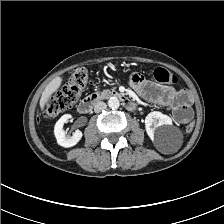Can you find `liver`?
<instances>
[{
	"label": "liver",
	"mask_w": 224,
	"mask_h": 224,
	"mask_svg": "<svg viewBox=\"0 0 224 224\" xmlns=\"http://www.w3.org/2000/svg\"><path fill=\"white\" fill-rule=\"evenodd\" d=\"M62 80H63L62 77H56L46 86L40 100V105L42 109H44V106L48 102L51 95L59 89V87L61 86Z\"/></svg>",
	"instance_id": "6515ba94"
}]
</instances>
